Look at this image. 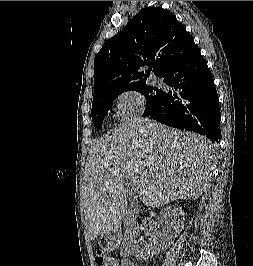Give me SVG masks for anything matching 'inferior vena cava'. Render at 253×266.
<instances>
[{
    "label": "inferior vena cava",
    "instance_id": "602c4592",
    "mask_svg": "<svg viewBox=\"0 0 253 266\" xmlns=\"http://www.w3.org/2000/svg\"><path fill=\"white\" fill-rule=\"evenodd\" d=\"M127 220H128V225H130V222H131V217L127 214ZM132 226V225H131ZM131 230H133L132 228H131ZM129 231H130V229H129ZM131 233V232H130Z\"/></svg>",
    "mask_w": 253,
    "mask_h": 266
}]
</instances>
